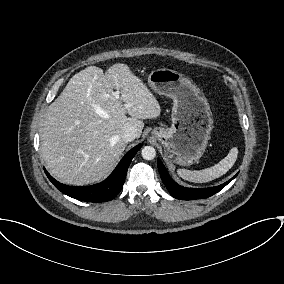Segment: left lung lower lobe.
Instances as JSON below:
<instances>
[{
	"instance_id": "obj_1",
	"label": "left lung lower lobe",
	"mask_w": 284,
	"mask_h": 284,
	"mask_svg": "<svg viewBox=\"0 0 284 284\" xmlns=\"http://www.w3.org/2000/svg\"><path fill=\"white\" fill-rule=\"evenodd\" d=\"M157 164H158V169H159L161 179L164 185L166 186V188L168 189L169 193L174 198L181 199V200H195V199H203V198L210 197L214 195L215 193L219 192L223 187H225L229 182H231L237 176L236 174L233 178H231L227 182L219 186H216V187L186 188V187L178 185L176 182H174L170 178L165 166L159 159L157 161Z\"/></svg>"
}]
</instances>
